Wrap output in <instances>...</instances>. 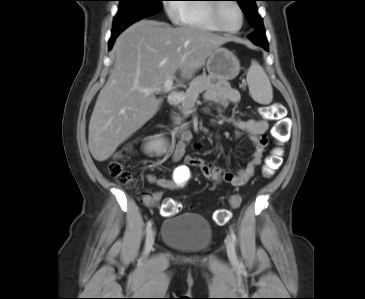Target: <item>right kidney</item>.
<instances>
[{
	"instance_id": "ca27d5eb",
	"label": "right kidney",
	"mask_w": 365,
	"mask_h": 299,
	"mask_svg": "<svg viewBox=\"0 0 365 299\" xmlns=\"http://www.w3.org/2000/svg\"><path fill=\"white\" fill-rule=\"evenodd\" d=\"M167 145L164 139H155L146 145L147 152H156L157 154H162L166 152Z\"/></svg>"
}]
</instances>
